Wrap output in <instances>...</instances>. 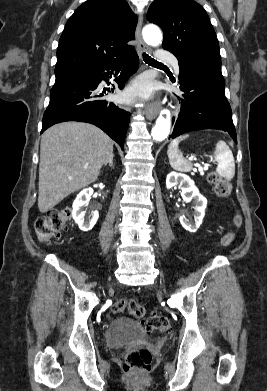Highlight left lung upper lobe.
<instances>
[{
	"label": "left lung upper lobe",
	"instance_id": "left-lung-upper-lobe-1",
	"mask_svg": "<svg viewBox=\"0 0 267 391\" xmlns=\"http://www.w3.org/2000/svg\"><path fill=\"white\" fill-rule=\"evenodd\" d=\"M147 19L163 30V49L182 64L221 72L219 43L201 5L193 0H154Z\"/></svg>",
	"mask_w": 267,
	"mask_h": 391
}]
</instances>
